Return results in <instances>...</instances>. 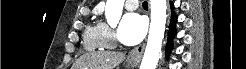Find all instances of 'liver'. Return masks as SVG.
<instances>
[{"mask_svg":"<svg viewBox=\"0 0 246 69\" xmlns=\"http://www.w3.org/2000/svg\"><path fill=\"white\" fill-rule=\"evenodd\" d=\"M125 59L120 52H98L81 56L74 67L76 69H114Z\"/></svg>","mask_w":246,"mask_h":69,"instance_id":"obj_1","label":"liver"}]
</instances>
